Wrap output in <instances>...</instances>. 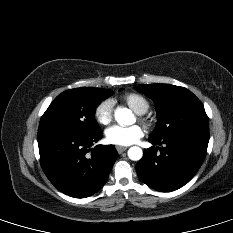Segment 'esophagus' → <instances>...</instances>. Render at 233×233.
Listing matches in <instances>:
<instances>
[{"instance_id": "esophagus-1", "label": "esophagus", "mask_w": 233, "mask_h": 233, "mask_svg": "<svg viewBox=\"0 0 233 233\" xmlns=\"http://www.w3.org/2000/svg\"><path fill=\"white\" fill-rule=\"evenodd\" d=\"M116 149H117L118 153H122V152L126 151L127 147H124V146H116Z\"/></svg>"}]
</instances>
